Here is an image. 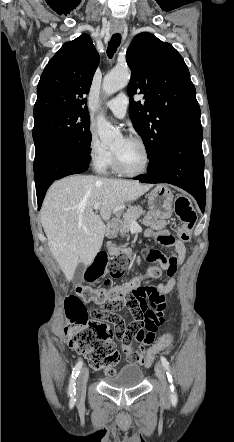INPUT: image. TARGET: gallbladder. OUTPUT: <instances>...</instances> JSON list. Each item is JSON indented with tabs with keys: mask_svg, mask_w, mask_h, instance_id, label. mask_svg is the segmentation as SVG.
I'll list each match as a JSON object with an SVG mask.
<instances>
[{
	"mask_svg": "<svg viewBox=\"0 0 234 442\" xmlns=\"http://www.w3.org/2000/svg\"><path fill=\"white\" fill-rule=\"evenodd\" d=\"M84 271H85V265L83 263H79L75 269V273H74V277H73L75 283L82 282Z\"/></svg>",
	"mask_w": 234,
	"mask_h": 442,
	"instance_id": "1",
	"label": "gallbladder"
}]
</instances>
